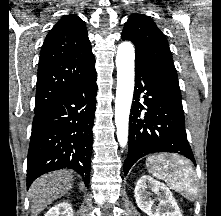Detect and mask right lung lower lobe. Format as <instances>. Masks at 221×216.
Here are the masks:
<instances>
[{
    "label": "right lung lower lobe",
    "mask_w": 221,
    "mask_h": 216,
    "mask_svg": "<svg viewBox=\"0 0 221 216\" xmlns=\"http://www.w3.org/2000/svg\"><path fill=\"white\" fill-rule=\"evenodd\" d=\"M96 78L94 75L34 112L27 188L39 176L62 168L78 172L88 187L98 89Z\"/></svg>",
    "instance_id": "obj_1"
}]
</instances>
